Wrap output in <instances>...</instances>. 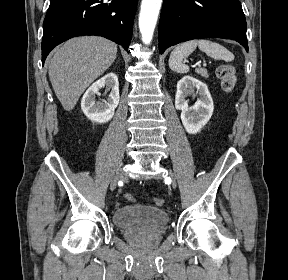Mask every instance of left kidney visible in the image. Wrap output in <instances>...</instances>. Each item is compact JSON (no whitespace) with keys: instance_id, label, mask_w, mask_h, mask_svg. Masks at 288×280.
<instances>
[{"instance_id":"5707ae66","label":"left kidney","mask_w":288,"mask_h":280,"mask_svg":"<svg viewBox=\"0 0 288 280\" xmlns=\"http://www.w3.org/2000/svg\"><path fill=\"white\" fill-rule=\"evenodd\" d=\"M195 89L199 98L189 107L187 97L194 93ZM175 108L181 110V121L185 130L189 134L198 133L210 120L214 110L207 85L194 77H183L177 83Z\"/></svg>"}]
</instances>
